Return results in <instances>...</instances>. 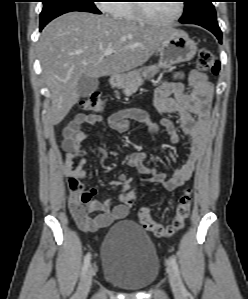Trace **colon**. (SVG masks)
I'll use <instances>...</instances> for the list:
<instances>
[{"mask_svg":"<svg viewBox=\"0 0 248 299\" xmlns=\"http://www.w3.org/2000/svg\"><path fill=\"white\" fill-rule=\"evenodd\" d=\"M197 69L201 72L217 75L220 70V64L216 55L209 49L203 48L199 51L196 61ZM84 111L90 113H99L104 110L105 102L98 92L90 93L81 105ZM84 185L79 181H74L70 188L69 210L73 216L84 217L90 212L88 197L85 196ZM124 203L127 207H131L134 198L127 195ZM192 207V192L187 189L180 197L174 212V216L170 223L163 224L155 221L150 215L148 207H142L138 212L139 222L142 226L153 232L157 236L171 237L175 233L183 229L185 221L188 218Z\"/></svg>","mask_w":248,"mask_h":299,"instance_id":"obj_1","label":"colon"}]
</instances>
